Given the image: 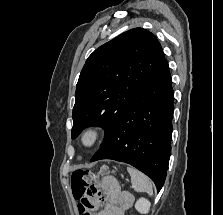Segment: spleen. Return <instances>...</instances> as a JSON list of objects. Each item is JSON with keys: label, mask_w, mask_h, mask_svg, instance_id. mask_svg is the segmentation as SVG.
Here are the masks:
<instances>
[{"label": "spleen", "mask_w": 223, "mask_h": 215, "mask_svg": "<svg viewBox=\"0 0 223 215\" xmlns=\"http://www.w3.org/2000/svg\"><path fill=\"white\" fill-rule=\"evenodd\" d=\"M127 171L131 175L132 187H134L135 191H147L149 195H152V181L147 175H144L138 169H134V167H127Z\"/></svg>", "instance_id": "1"}]
</instances>
